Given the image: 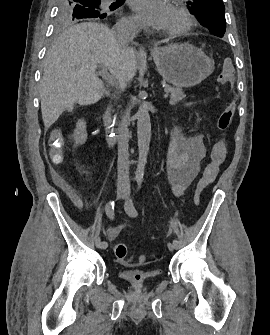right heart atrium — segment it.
<instances>
[{
	"mask_svg": "<svg viewBox=\"0 0 270 335\" xmlns=\"http://www.w3.org/2000/svg\"><path fill=\"white\" fill-rule=\"evenodd\" d=\"M117 25H139V21L136 16L128 15L122 18Z\"/></svg>",
	"mask_w": 270,
	"mask_h": 335,
	"instance_id": "right-heart-atrium-1",
	"label": "right heart atrium"
}]
</instances>
